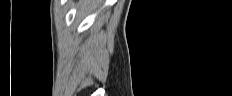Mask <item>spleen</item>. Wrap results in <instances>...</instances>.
I'll list each match as a JSON object with an SVG mask.
<instances>
[{
  "label": "spleen",
  "mask_w": 232,
  "mask_h": 96,
  "mask_svg": "<svg viewBox=\"0 0 232 96\" xmlns=\"http://www.w3.org/2000/svg\"><path fill=\"white\" fill-rule=\"evenodd\" d=\"M97 6H98L97 3H95V2H91V1H88V0L80 1V3H79V12L85 13L86 15H88L94 9H96Z\"/></svg>",
  "instance_id": "obj_1"
}]
</instances>
